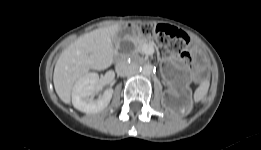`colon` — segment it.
I'll return each mask as SVG.
<instances>
[{
  "label": "colon",
  "mask_w": 261,
  "mask_h": 150,
  "mask_svg": "<svg viewBox=\"0 0 261 150\" xmlns=\"http://www.w3.org/2000/svg\"><path fill=\"white\" fill-rule=\"evenodd\" d=\"M140 32L147 37H153L158 46L164 51L173 54L176 61L183 67L190 64L191 57L186 50L189 38L183 31L163 24H142Z\"/></svg>",
  "instance_id": "colon-1"
}]
</instances>
